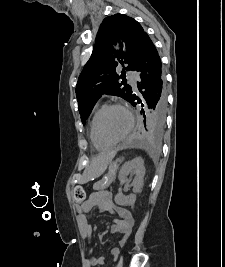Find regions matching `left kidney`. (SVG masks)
Wrapping results in <instances>:
<instances>
[{
  "label": "left kidney",
  "mask_w": 225,
  "mask_h": 267,
  "mask_svg": "<svg viewBox=\"0 0 225 267\" xmlns=\"http://www.w3.org/2000/svg\"><path fill=\"white\" fill-rule=\"evenodd\" d=\"M135 174V179L133 183V192L129 196H124L123 194H117L115 196V203L121 206H132L136 201V193L141 192L143 184H144V176H145V167L144 161L142 158H134L131 161L126 162L120 169L119 172V180L124 181L129 174Z\"/></svg>",
  "instance_id": "5707ae66"
}]
</instances>
